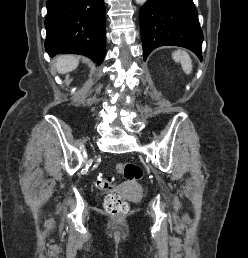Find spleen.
Masks as SVG:
<instances>
[{
	"instance_id": "3e777b00",
	"label": "spleen",
	"mask_w": 248,
	"mask_h": 258,
	"mask_svg": "<svg viewBox=\"0 0 248 258\" xmlns=\"http://www.w3.org/2000/svg\"><path fill=\"white\" fill-rule=\"evenodd\" d=\"M172 57L175 62L181 63L183 71L186 74H190L192 72V60L186 51H174L172 53Z\"/></svg>"
}]
</instances>
